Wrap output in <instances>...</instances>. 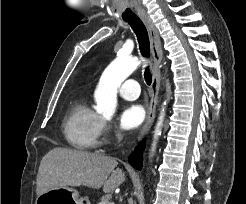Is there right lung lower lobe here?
I'll list each match as a JSON object with an SVG mask.
<instances>
[{
  "instance_id": "1",
  "label": "right lung lower lobe",
  "mask_w": 246,
  "mask_h": 204,
  "mask_svg": "<svg viewBox=\"0 0 246 204\" xmlns=\"http://www.w3.org/2000/svg\"><path fill=\"white\" fill-rule=\"evenodd\" d=\"M144 146L140 145L139 147L136 148L135 153L132 155V157L130 158V164L138 169L141 170L142 169V150H143Z\"/></svg>"
}]
</instances>
